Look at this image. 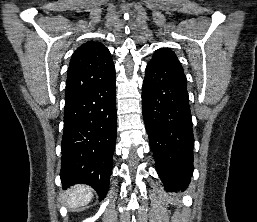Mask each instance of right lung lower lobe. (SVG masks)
I'll use <instances>...</instances> for the list:
<instances>
[{"label": "right lung lower lobe", "instance_id": "1", "mask_svg": "<svg viewBox=\"0 0 257 222\" xmlns=\"http://www.w3.org/2000/svg\"><path fill=\"white\" fill-rule=\"evenodd\" d=\"M115 70L98 85L65 101L60 178L64 188L93 187L100 199L109 188L116 142Z\"/></svg>", "mask_w": 257, "mask_h": 222}]
</instances>
